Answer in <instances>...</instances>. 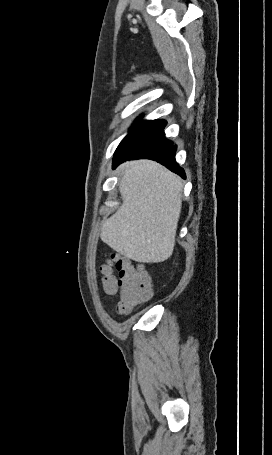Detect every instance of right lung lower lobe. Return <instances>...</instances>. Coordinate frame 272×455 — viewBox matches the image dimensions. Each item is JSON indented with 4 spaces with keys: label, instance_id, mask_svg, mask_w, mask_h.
<instances>
[{
    "label": "right lung lower lobe",
    "instance_id": "right-lung-lower-lobe-1",
    "mask_svg": "<svg viewBox=\"0 0 272 455\" xmlns=\"http://www.w3.org/2000/svg\"><path fill=\"white\" fill-rule=\"evenodd\" d=\"M165 126V120H151L129 132L115 151L113 168L126 160L147 158L185 178L183 169L175 161L177 146L165 138Z\"/></svg>",
    "mask_w": 272,
    "mask_h": 455
}]
</instances>
